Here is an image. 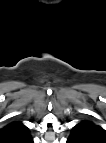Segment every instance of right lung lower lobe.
<instances>
[{
  "instance_id": "right-lung-lower-lobe-1",
  "label": "right lung lower lobe",
  "mask_w": 106,
  "mask_h": 143,
  "mask_svg": "<svg viewBox=\"0 0 106 143\" xmlns=\"http://www.w3.org/2000/svg\"><path fill=\"white\" fill-rule=\"evenodd\" d=\"M26 143H33V139L30 138Z\"/></svg>"
}]
</instances>
